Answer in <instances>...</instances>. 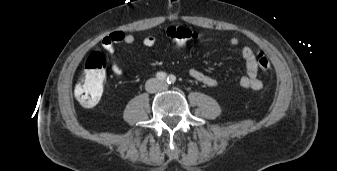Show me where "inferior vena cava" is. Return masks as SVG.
I'll list each match as a JSON object with an SVG mask.
<instances>
[{
  "label": "inferior vena cava",
  "instance_id": "inferior-vena-cava-1",
  "mask_svg": "<svg viewBox=\"0 0 337 171\" xmlns=\"http://www.w3.org/2000/svg\"><path fill=\"white\" fill-rule=\"evenodd\" d=\"M160 89V83L157 79H150L146 83V90L153 93Z\"/></svg>",
  "mask_w": 337,
  "mask_h": 171
}]
</instances>
